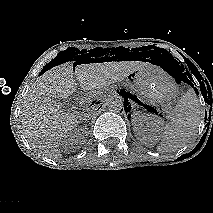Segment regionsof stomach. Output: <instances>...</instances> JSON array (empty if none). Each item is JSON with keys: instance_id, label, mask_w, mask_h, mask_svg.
I'll use <instances>...</instances> for the list:
<instances>
[{"instance_id": "0dacf381", "label": "stomach", "mask_w": 213, "mask_h": 213, "mask_svg": "<svg viewBox=\"0 0 213 213\" xmlns=\"http://www.w3.org/2000/svg\"><path fill=\"white\" fill-rule=\"evenodd\" d=\"M128 77L141 89L150 106L167 105L176 96L175 83L156 66L137 69Z\"/></svg>"}]
</instances>
